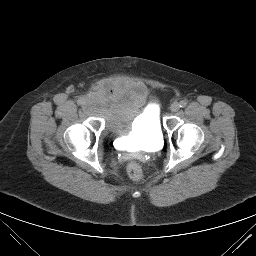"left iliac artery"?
<instances>
[{"mask_svg":"<svg viewBox=\"0 0 256 256\" xmlns=\"http://www.w3.org/2000/svg\"><path fill=\"white\" fill-rule=\"evenodd\" d=\"M186 105H187V102L185 100H182L179 103V106L182 107V108L186 107Z\"/></svg>","mask_w":256,"mask_h":256,"instance_id":"obj_1","label":"left iliac artery"}]
</instances>
